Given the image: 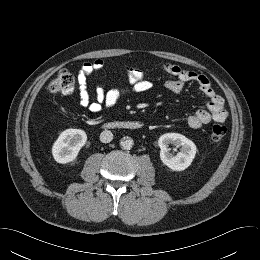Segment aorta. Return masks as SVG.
<instances>
[{"instance_id": "1", "label": "aorta", "mask_w": 260, "mask_h": 260, "mask_svg": "<svg viewBox=\"0 0 260 260\" xmlns=\"http://www.w3.org/2000/svg\"><path fill=\"white\" fill-rule=\"evenodd\" d=\"M133 140L131 138H123L120 142V146L124 150H130L133 147Z\"/></svg>"}]
</instances>
